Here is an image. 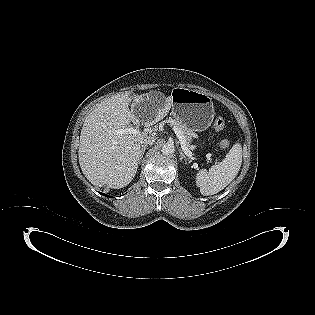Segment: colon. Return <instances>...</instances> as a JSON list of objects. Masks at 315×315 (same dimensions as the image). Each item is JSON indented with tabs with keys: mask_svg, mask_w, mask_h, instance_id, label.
Here are the masks:
<instances>
[{
	"mask_svg": "<svg viewBox=\"0 0 315 315\" xmlns=\"http://www.w3.org/2000/svg\"><path fill=\"white\" fill-rule=\"evenodd\" d=\"M226 126V122L223 118L221 117H218L215 122H214V128L217 130V131H222ZM220 146L222 148H227L229 146V141L227 139H222L220 141Z\"/></svg>",
	"mask_w": 315,
	"mask_h": 315,
	"instance_id": "obj_1",
	"label": "colon"
}]
</instances>
